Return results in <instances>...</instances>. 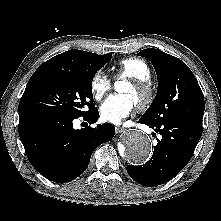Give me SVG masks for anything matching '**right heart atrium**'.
<instances>
[{
	"label": "right heart atrium",
	"instance_id": "obj_1",
	"mask_svg": "<svg viewBox=\"0 0 221 221\" xmlns=\"http://www.w3.org/2000/svg\"><path fill=\"white\" fill-rule=\"evenodd\" d=\"M111 80L101 70L97 71L91 78L90 90L96 100L101 99L110 89Z\"/></svg>",
	"mask_w": 221,
	"mask_h": 221
}]
</instances>
